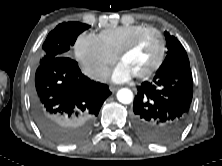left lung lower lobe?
<instances>
[{"label":"left lung lower lobe","mask_w":222,"mask_h":166,"mask_svg":"<svg viewBox=\"0 0 222 166\" xmlns=\"http://www.w3.org/2000/svg\"><path fill=\"white\" fill-rule=\"evenodd\" d=\"M133 125L144 139L166 144L177 138L189 120L193 97L190 67L156 72L152 81L137 87Z\"/></svg>","instance_id":"obj_1"}]
</instances>
